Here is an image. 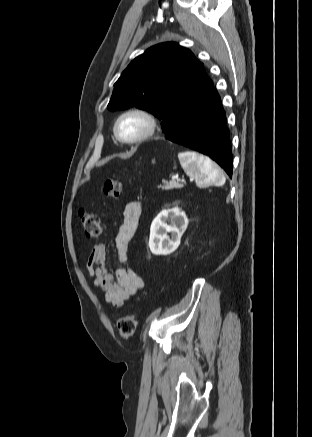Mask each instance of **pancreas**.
<instances>
[{"mask_svg":"<svg viewBox=\"0 0 312 437\" xmlns=\"http://www.w3.org/2000/svg\"><path fill=\"white\" fill-rule=\"evenodd\" d=\"M162 190H172V189H181L183 188V184L177 181L166 182L163 186H160Z\"/></svg>","mask_w":312,"mask_h":437,"instance_id":"obj_1","label":"pancreas"}]
</instances>
